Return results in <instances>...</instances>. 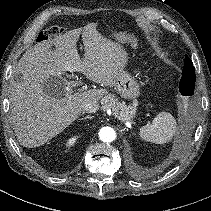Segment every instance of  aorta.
<instances>
[{
  "label": "aorta",
  "instance_id": "obj_1",
  "mask_svg": "<svg viewBox=\"0 0 211 211\" xmlns=\"http://www.w3.org/2000/svg\"><path fill=\"white\" fill-rule=\"evenodd\" d=\"M99 137L103 142H112L116 139V132L111 127H103L99 131Z\"/></svg>",
  "mask_w": 211,
  "mask_h": 211
}]
</instances>
